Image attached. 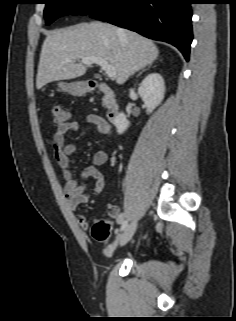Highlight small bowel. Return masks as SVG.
Returning <instances> with one entry per match:
<instances>
[{"mask_svg":"<svg viewBox=\"0 0 236 321\" xmlns=\"http://www.w3.org/2000/svg\"><path fill=\"white\" fill-rule=\"evenodd\" d=\"M84 122L88 125L94 126L102 136L110 137L112 135V125L110 122L97 114L87 115ZM79 126L80 125L77 121L69 120L64 125L57 126L52 139L54 156L65 180V198L69 207L73 210L80 205L89 203L94 197L102 193L105 188V177L97 166L104 164L108 159L107 151L100 150L96 152L93 157V165L85 167L81 172V180L79 181L74 177L70 157L75 152L76 145L74 143H67L66 135L77 131ZM90 178L95 181L92 192L87 191V185L85 182ZM107 210L110 218L117 220V222L122 221L123 215L119 206L108 204ZM76 220L81 228L87 230L90 227V222L86 216L79 214L76 216ZM110 250L111 248L107 249V251Z\"/></svg>","mask_w":236,"mask_h":321,"instance_id":"obj_1","label":"small bowel"}]
</instances>
